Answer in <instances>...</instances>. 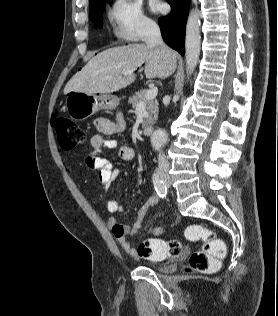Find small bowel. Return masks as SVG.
<instances>
[{
    "instance_id": "obj_1",
    "label": "small bowel",
    "mask_w": 278,
    "mask_h": 316,
    "mask_svg": "<svg viewBox=\"0 0 278 316\" xmlns=\"http://www.w3.org/2000/svg\"><path fill=\"white\" fill-rule=\"evenodd\" d=\"M94 125L98 130V133L92 135L90 138L92 152L85 156L84 163L87 168L97 171L98 180L105 189L106 208L111 214L107 220V225L116 241L127 254L140 256L137 249L128 241V236L136 234L141 229L143 219L149 208L160 203L159 195L154 193L148 197L146 202L137 212L132 225L120 224L117 222L114 214L123 212L124 207L119 201L108 197L107 192L109 185L117 178L120 171L107 159L100 157L99 153L105 149H118V156L121 160L132 161L136 156V152L133 147L127 145L120 146L115 139L109 138L114 134L123 132L126 128L125 119L120 111L117 112L115 121L100 117L94 121ZM174 218L175 220H178L177 216ZM163 230V225H157L151 227L149 233L154 236H159L163 233Z\"/></svg>"
}]
</instances>
